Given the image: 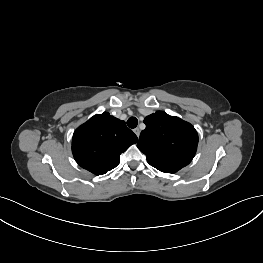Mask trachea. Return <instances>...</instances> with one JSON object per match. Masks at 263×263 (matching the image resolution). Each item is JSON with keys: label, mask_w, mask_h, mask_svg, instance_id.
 I'll return each instance as SVG.
<instances>
[{"label": "trachea", "mask_w": 263, "mask_h": 263, "mask_svg": "<svg viewBox=\"0 0 263 263\" xmlns=\"http://www.w3.org/2000/svg\"><path fill=\"white\" fill-rule=\"evenodd\" d=\"M127 125L129 128H136V126L138 125V120L136 117H130L127 121Z\"/></svg>", "instance_id": "3493384b"}]
</instances>
